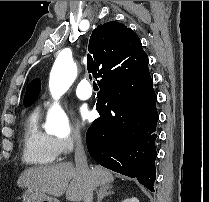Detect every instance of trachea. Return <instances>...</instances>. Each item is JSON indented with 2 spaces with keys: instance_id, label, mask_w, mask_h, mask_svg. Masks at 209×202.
I'll use <instances>...</instances> for the list:
<instances>
[{
  "instance_id": "obj_1",
  "label": "trachea",
  "mask_w": 209,
  "mask_h": 202,
  "mask_svg": "<svg viewBox=\"0 0 209 202\" xmlns=\"http://www.w3.org/2000/svg\"><path fill=\"white\" fill-rule=\"evenodd\" d=\"M92 78L90 77V80H91ZM93 86H97V84L95 83V82H93Z\"/></svg>"
}]
</instances>
